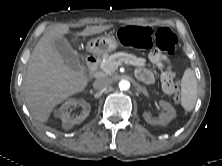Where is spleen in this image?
<instances>
[{
	"mask_svg": "<svg viewBox=\"0 0 222 166\" xmlns=\"http://www.w3.org/2000/svg\"><path fill=\"white\" fill-rule=\"evenodd\" d=\"M197 100V80L192 69L185 70L181 80V105L190 112Z\"/></svg>",
	"mask_w": 222,
	"mask_h": 166,
	"instance_id": "obj_1",
	"label": "spleen"
}]
</instances>
